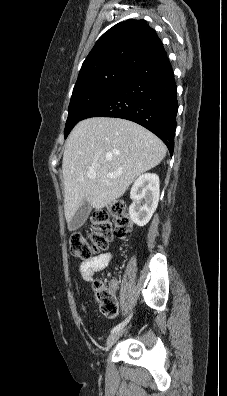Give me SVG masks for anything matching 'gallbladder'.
Returning <instances> with one entry per match:
<instances>
[{
	"instance_id": "1",
	"label": "gallbladder",
	"mask_w": 227,
	"mask_h": 396,
	"mask_svg": "<svg viewBox=\"0 0 227 396\" xmlns=\"http://www.w3.org/2000/svg\"><path fill=\"white\" fill-rule=\"evenodd\" d=\"M90 211L91 205L86 200H84L71 221L68 223V229L70 231H74L80 228L86 221Z\"/></svg>"
}]
</instances>
